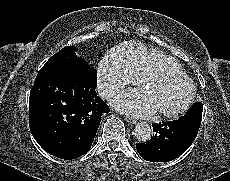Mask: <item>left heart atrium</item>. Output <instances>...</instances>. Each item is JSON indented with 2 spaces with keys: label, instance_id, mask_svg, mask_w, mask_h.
<instances>
[{
  "label": "left heart atrium",
  "instance_id": "left-heart-atrium-1",
  "mask_svg": "<svg viewBox=\"0 0 230 181\" xmlns=\"http://www.w3.org/2000/svg\"><path fill=\"white\" fill-rule=\"evenodd\" d=\"M140 90V89H139ZM131 89L113 100V104L120 110L135 116H149L156 112L155 108L143 95V90Z\"/></svg>",
  "mask_w": 230,
  "mask_h": 181
}]
</instances>
